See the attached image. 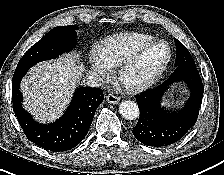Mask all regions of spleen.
Here are the masks:
<instances>
[{
	"label": "spleen",
	"mask_w": 224,
	"mask_h": 175,
	"mask_svg": "<svg viewBox=\"0 0 224 175\" xmlns=\"http://www.w3.org/2000/svg\"><path fill=\"white\" fill-rule=\"evenodd\" d=\"M162 105L170 107L172 105V103H171V101L166 99L163 101Z\"/></svg>",
	"instance_id": "obj_1"
}]
</instances>
